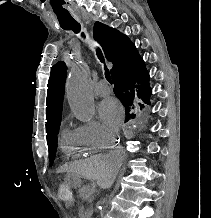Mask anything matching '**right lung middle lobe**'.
<instances>
[{"label":"right lung middle lobe","instance_id":"dd1d6c3e","mask_svg":"<svg viewBox=\"0 0 211 218\" xmlns=\"http://www.w3.org/2000/svg\"><path fill=\"white\" fill-rule=\"evenodd\" d=\"M123 106L125 107L126 112V119L134 118V114H129L130 106L134 105V98L133 97H124L119 99ZM141 105V104H140ZM141 108H144V105H141ZM61 119L56 122L52 131L47 135V143L49 148V157H50V166L54 162L55 153L57 149V134L59 131Z\"/></svg>","mask_w":211,"mask_h":218}]
</instances>
